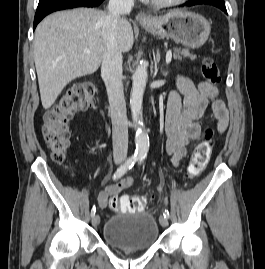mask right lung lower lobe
I'll use <instances>...</instances> for the list:
<instances>
[{"mask_svg":"<svg viewBox=\"0 0 265 269\" xmlns=\"http://www.w3.org/2000/svg\"><path fill=\"white\" fill-rule=\"evenodd\" d=\"M104 0H40L34 18V29L37 24L48 14L74 7H95Z\"/></svg>","mask_w":265,"mask_h":269,"instance_id":"right-lung-lower-lobe-1","label":"right lung lower lobe"}]
</instances>
